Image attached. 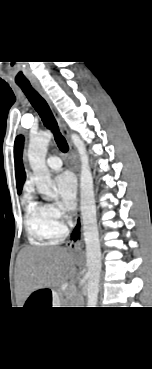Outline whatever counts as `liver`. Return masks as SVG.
Masks as SVG:
<instances>
[{
    "label": "liver",
    "mask_w": 152,
    "mask_h": 369,
    "mask_svg": "<svg viewBox=\"0 0 152 369\" xmlns=\"http://www.w3.org/2000/svg\"><path fill=\"white\" fill-rule=\"evenodd\" d=\"M19 261V285L25 294L59 286L75 273L74 258L64 248L26 247Z\"/></svg>",
    "instance_id": "liver-1"
}]
</instances>
